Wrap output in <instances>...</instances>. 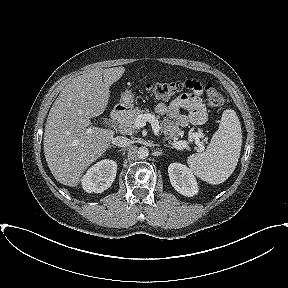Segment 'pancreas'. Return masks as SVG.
<instances>
[{
  "label": "pancreas",
  "instance_id": "1",
  "mask_svg": "<svg viewBox=\"0 0 288 288\" xmlns=\"http://www.w3.org/2000/svg\"><path fill=\"white\" fill-rule=\"evenodd\" d=\"M145 111L136 107L133 110H129L123 117L119 118V128L121 133L123 134H132L136 132L137 128H135V119L137 116L142 115ZM148 112V110H147ZM160 129L164 133V139L167 140L170 144L177 141L178 136L183 134V131L180 130L178 124L171 121L168 118H164L160 123ZM196 133H190L189 134V141L194 140V135ZM202 136V133H197ZM200 136V137H201Z\"/></svg>",
  "mask_w": 288,
  "mask_h": 288
}]
</instances>
